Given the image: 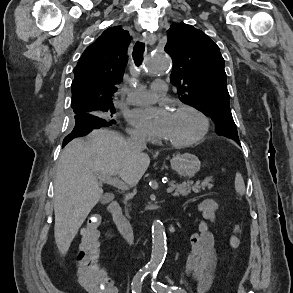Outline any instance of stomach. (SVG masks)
Returning <instances> with one entry per match:
<instances>
[{
    "mask_svg": "<svg viewBox=\"0 0 293 293\" xmlns=\"http://www.w3.org/2000/svg\"><path fill=\"white\" fill-rule=\"evenodd\" d=\"M171 167L179 176L191 178L200 170L201 162L194 154H177L171 159Z\"/></svg>",
    "mask_w": 293,
    "mask_h": 293,
    "instance_id": "1",
    "label": "stomach"
}]
</instances>
